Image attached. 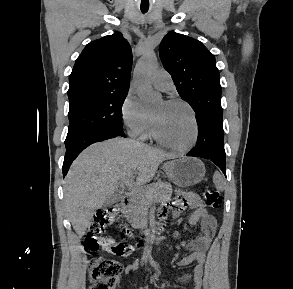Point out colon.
<instances>
[{
  "mask_svg": "<svg viewBox=\"0 0 293 289\" xmlns=\"http://www.w3.org/2000/svg\"><path fill=\"white\" fill-rule=\"evenodd\" d=\"M204 197L213 208H218L222 202L219 192L207 189ZM182 207L183 202H178ZM120 211L119 204L109 206L95 215L89 224L87 234L84 238V247L87 251L93 252L103 248L106 252L120 257L132 255L137 245L127 242L115 241L109 237H103L104 230L111 225ZM161 213L168 214L169 209H164ZM123 273V265L112 259L93 258L89 261V281L90 289H114L119 277Z\"/></svg>",
  "mask_w": 293,
  "mask_h": 289,
  "instance_id": "colon-1",
  "label": "colon"
}]
</instances>
